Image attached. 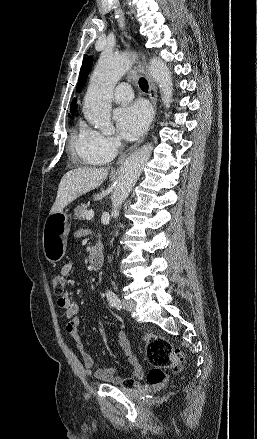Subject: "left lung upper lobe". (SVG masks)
<instances>
[{
	"instance_id": "5c2ea615",
	"label": "left lung upper lobe",
	"mask_w": 257,
	"mask_h": 439,
	"mask_svg": "<svg viewBox=\"0 0 257 439\" xmlns=\"http://www.w3.org/2000/svg\"><path fill=\"white\" fill-rule=\"evenodd\" d=\"M92 63H93V58L91 56H88L83 60V64H82L80 74H79V81L77 84V91L78 92L81 91V88L85 84L87 75L89 74V72L91 70Z\"/></svg>"
}]
</instances>
